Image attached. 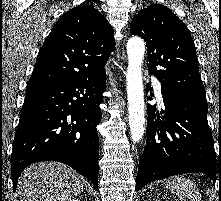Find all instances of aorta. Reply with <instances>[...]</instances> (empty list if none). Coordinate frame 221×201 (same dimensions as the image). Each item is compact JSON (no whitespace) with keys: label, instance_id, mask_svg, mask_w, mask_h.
<instances>
[{"label":"aorta","instance_id":"762f6f07","mask_svg":"<svg viewBox=\"0 0 221 201\" xmlns=\"http://www.w3.org/2000/svg\"><path fill=\"white\" fill-rule=\"evenodd\" d=\"M145 45L139 37H132L127 42L128 70L127 97L128 117L131 139L141 140L145 131L144 89L142 80V60Z\"/></svg>","mask_w":221,"mask_h":201}]
</instances>
